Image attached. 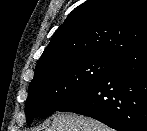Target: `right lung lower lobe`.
<instances>
[{
    "mask_svg": "<svg viewBox=\"0 0 147 131\" xmlns=\"http://www.w3.org/2000/svg\"><path fill=\"white\" fill-rule=\"evenodd\" d=\"M59 111L94 118L117 131H147V42L119 58L98 83Z\"/></svg>",
    "mask_w": 147,
    "mask_h": 131,
    "instance_id": "1",
    "label": "right lung lower lobe"
}]
</instances>
